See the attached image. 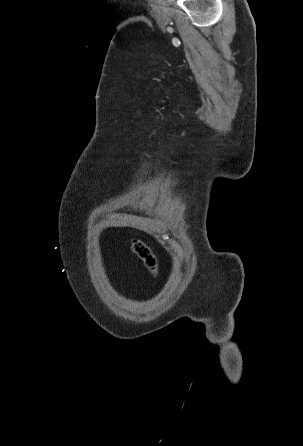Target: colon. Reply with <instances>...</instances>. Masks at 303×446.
I'll list each match as a JSON object with an SVG mask.
<instances>
[{
	"label": "colon",
	"mask_w": 303,
	"mask_h": 446,
	"mask_svg": "<svg viewBox=\"0 0 303 446\" xmlns=\"http://www.w3.org/2000/svg\"><path fill=\"white\" fill-rule=\"evenodd\" d=\"M133 253L144 263L149 272L156 277L158 274V259L151 248L142 240L132 241Z\"/></svg>",
	"instance_id": "colon-1"
}]
</instances>
